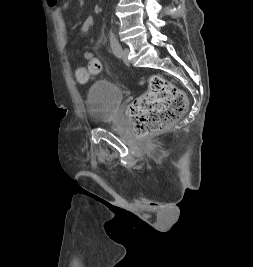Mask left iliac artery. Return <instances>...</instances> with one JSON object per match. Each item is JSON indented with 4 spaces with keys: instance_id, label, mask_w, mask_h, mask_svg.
I'll use <instances>...</instances> for the list:
<instances>
[{
    "instance_id": "1",
    "label": "left iliac artery",
    "mask_w": 253,
    "mask_h": 267,
    "mask_svg": "<svg viewBox=\"0 0 253 267\" xmlns=\"http://www.w3.org/2000/svg\"><path fill=\"white\" fill-rule=\"evenodd\" d=\"M109 39H110V46H111L113 53L115 54V56L120 57V52L122 48L112 30H110L109 32Z\"/></svg>"
}]
</instances>
